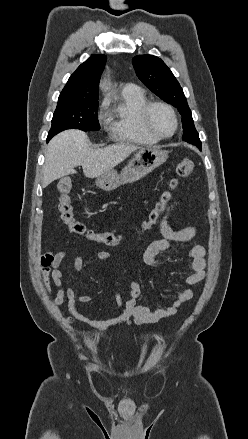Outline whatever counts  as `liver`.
Here are the masks:
<instances>
[{"label":"liver","instance_id":"6515ba94","mask_svg":"<svg viewBox=\"0 0 248 439\" xmlns=\"http://www.w3.org/2000/svg\"><path fill=\"white\" fill-rule=\"evenodd\" d=\"M141 147L118 143L93 149L89 139L80 130H66L56 135L48 144L43 166V186L64 176L76 173L82 166L87 178L98 177L123 162L132 152Z\"/></svg>","mask_w":248,"mask_h":439}]
</instances>
